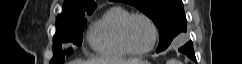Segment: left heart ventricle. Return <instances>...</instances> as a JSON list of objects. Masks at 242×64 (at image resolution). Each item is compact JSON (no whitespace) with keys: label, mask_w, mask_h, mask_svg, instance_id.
I'll return each mask as SVG.
<instances>
[{"label":"left heart ventricle","mask_w":242,"mask_h":64,"mask_svg":"<svg viewBox=\"0 0 242 64\" xmlns=\"http://www.w3.org/2000/svg\"><path fill=\"white\" fill-rule=\"evenodd\" d=\"M130 45L135 50L147 49L153 39V33L150 25L143 18H134L128 27L127 32Z\"/></svg>","instance_id":"b2bd125f"}]
</instances>
